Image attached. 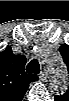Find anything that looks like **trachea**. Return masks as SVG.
I'll return each instance as SVG.
<instances>
[{"label": "trachea", "instance_id": "obj_1", "mask_svg": "<svg viewBox=\"0 0 69 101\" xmlns=\"http://www.w3.org/2000/svg\"><path fill=\"white\" fill-rule=\"evenodd\" d=\"M26 71L28 73H34V74H39L40 73V64L38 62L37 59H32L27 67H26Z\"/></svg>", "mask_w": 69, "mask_h": 101}]
</instances>
